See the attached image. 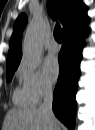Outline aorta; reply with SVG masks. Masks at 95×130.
I'll list each match as a JSON object with an SVG mask.
<instances>
[{"mask_svg": "<svg viewBox=\"0 0 95 130\" xmlns=\"http://www.w3.org/2000/svg\"><path fill=\"white\" fill-rule=\"evenodd\" d=\"M44 32L43 20L34 17L26 30L23 44L24 59L32 68H36L40 62Z\"/></svg>", "mask_w": 95, "mask_h": 130, "instance_id": "762f6f07", "label": "aorta"}]
</instances>
